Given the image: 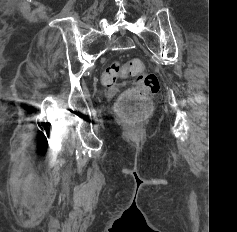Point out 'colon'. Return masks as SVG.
<instances>
[{"label": "colon", "mask_w": 237, "mask_h": 232, "mask_svg": "<svg viewBox=\"0 0 237 232\" xmlns=\"http://www.w3.org/2000/svg\"><path fill=\"white\" fill-rule=\"evenodd\" d=\"M132 75L134 86L126 90L119 98L116 112L119 118L131 128L142 125L152 112L149 97L159 91V81L155 74L147 73L139 59H132L120 65L113 62L102 74L106 85H113L117 79Z\"/></svg>", "instance_id": "colon-1"}]
</instances>
